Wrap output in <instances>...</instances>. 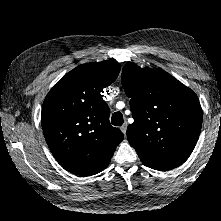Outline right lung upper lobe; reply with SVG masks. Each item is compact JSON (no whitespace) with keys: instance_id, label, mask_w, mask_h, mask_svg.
<instances>
[{"instance_id":"cb5924a9","label":"right lung upper lobe","mask_w":221,"mask_h":221,"mask_svg":"<svg viewBox=\"0 0 221 221\" xmlns=\"http://www.w3.org/2000/svg\"><path fill=\"white\" fill-rule=\"evenodd\" d=\"M120 64L106 60L68 72L47 94L42 106L43 134L57 162L85 177L103 171L123 140L109 122L103 89L113 83Z\"/></svg>"}]
</instances>
